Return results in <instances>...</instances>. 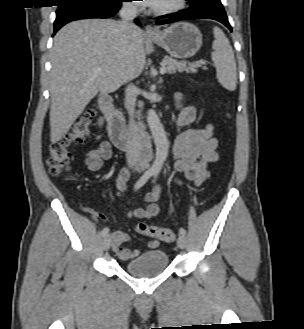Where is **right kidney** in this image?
I'll return each instance as SVG.
<instances>
[{
    "mask_svg": "<svg viewBox=\"0 0 304 329\" xmlns=\"http://www.w3.org/2000/svg\"><path fill=\"white\" fill-rule=\"evenodd\" d=\"M102 123H103V120H102V119H100V120H99V124L101 125Z\"/></svg>",
    "mask_w": 304,
    "mask_h": 329,
    "instance_id": "obj_1",
    "label": "right kidney"
}]
</instances>
